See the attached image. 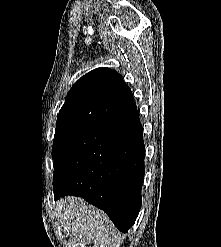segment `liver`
Here are the masks:
<instances>
[{"instance_id": "6515ba94", "label": "liver", "mask_w": 221, "mask_h": 247, "mask_svg": "<svg viewBox=\"0 0 221 247\" xmlns=\"http://www.w3.org/2000/svg\"><path fill=\"white\" fill-rule=\"evenodd\" d=\"M57 216L84 244L93 247H119L120 233L107 215L83 199L68 196L56 204Z\"/></svg>"}]
</instances>
